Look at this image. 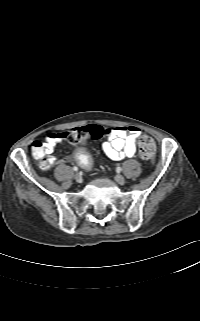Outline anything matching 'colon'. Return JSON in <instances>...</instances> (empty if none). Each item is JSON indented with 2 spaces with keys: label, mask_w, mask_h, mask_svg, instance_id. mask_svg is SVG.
<instances>
[{
  "label": "colon",
  "mask_w": 200,
  "mask_h": 321,
  "mask_svg": "<svg viewBox=\"0 0 200 321\" xmlns=\"http://www.w3.org/2000/svg\"><path fill=\"white\" fill-rule=\"evenodd\" d=\"M109 130L104 129L99 125H88L74 128L65 133V137L73 144H83L88 141L98 140ZM138 150L142 159L153 161L156 155V145L152 138L143 135L138 141ZM32 151L35 157L39 159V166L43 170L49 169L52 165L45 158L44 143L36 141L33 143ZM74 159L84 168H89L92 165V158L88 154V149L85 146H77L74 149Z\"/></svg>",
  "instance_id": "colon-1"
}]
</instances>
